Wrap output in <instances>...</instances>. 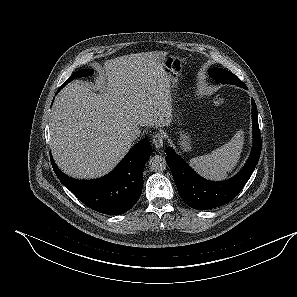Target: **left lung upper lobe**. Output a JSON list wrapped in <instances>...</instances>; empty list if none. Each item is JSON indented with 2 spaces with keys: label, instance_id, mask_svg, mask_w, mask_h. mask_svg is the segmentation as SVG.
Masks as SVG:
<instances>
[{
  "label": "left lung upper lobe",
  "instance_id": "5c2ea615",
  "mask_svg": "<svg viewBox=\"0 0 297 297\" xmlns=\"http://www.w3.org/2000/svg\"><path fill=\"white\" fill-rule=\"evenodd\" d=\"M208 74L217 82H222L225 84H236L237 86L246 88V85L242 81H240L235 74L227 70L221 68H213L209 70Z\"/></svg>",
  "mask_w": 297,
  "mask_h": 297
}]
</instances>
